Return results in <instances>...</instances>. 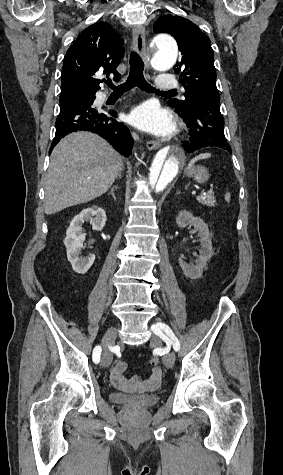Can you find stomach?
I'll use <instances>...</instances> for the list:
<instances>
[{"mask_svg": "<svg viewBox=\"0 0 283 475\" xmlns=\"http://www.w3.org/2000/svg\"><path fill=\"white\" fill-rule=\"evenodd\" d=\"M187 176H191L194 178L198 184H203V182H207L209 180V172L207 168L204 166H196V168H191V170H186Z\"/></svg>", "mask_w": 283, "mask_h": 475, "instance_id": "obj_1", "label": "stomach"}]
</instances>
